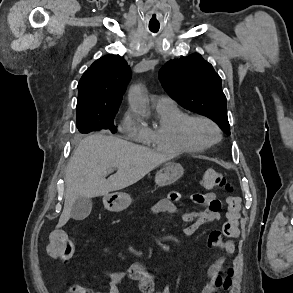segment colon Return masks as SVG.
Wrapping results in <instances>:
<instances>
[{"label": "colon", "mask_w": 293, "mask_h": 293, "mask_svg": "<svg viewBox=\"0 0 293 293\" xmlns=\"http://www.w3.org/2000/svg\"><path fill=\"white\" fill-rule=\"evenodd\" d=\"M201 185L206 189H221L227 193V220L222 227V233L226 237L238 235V218L240 212V198L234 194V189L220 172L214 169H207L201 175ZM47 254L52 259H59L62 262H69L75 253L73 236L63 230H55L51 240L46 247ZM232 267H227L217 276L215 293H225L232 281Z\"/></svg>", "instance_id": "1"}]
</instances>
